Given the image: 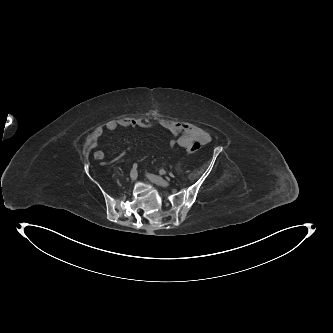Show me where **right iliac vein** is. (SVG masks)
I'll use <instances>...</instances> for the list:
<instances>
[{
    "mask_svg": "<svg viewBox=\"0 0 333 333\" xmlns=\"http://www.w3.org/2000/svg\"><path fill=\"white\" fill-rule=\"evenodd\" d=\"M136 178H137V171L132 169L130 172V179H131V181H135Z\"/></svg>",
    "mask_w": 333,
    "mask_h": 333,
    "instance_id": "obj_1",
    "label": "right iliac vein"
}]
</instances>
